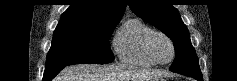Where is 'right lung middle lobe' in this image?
<instances>
[{"label":"right lung middle lobe","mask_w":237,"mask_h":81,"mask_svg":"<svg viewBox=\"0 0 237 81\" xmlns=\"http://www.w3.org/2000/svg\"><path fill=\"white\" fill-rule=\"evenodd\" d=\"M119 21L60 20L45 69L81 63H111L114 55L109 38Z\"/></svg>","instance_id":"1"}]
</instances>
